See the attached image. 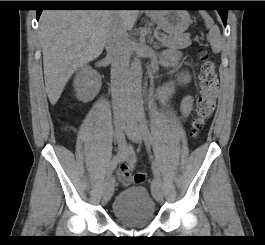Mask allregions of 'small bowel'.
<instances>
[{
    "label": "small bowel",
    "mask_w": 265,
    "mask_h": 245,
    "mask_svg": "<svg viewBox=\"0 0 265 245\" xmlns=\"http://www.w3.org/2000/svg\"><path fill=\"white\" fill-rule=\"evenodd\" d=\"M171 64V66H177L175 57H173ZM176 94V82L174 80H170L165 83L158 91V98L161 105L164 108H170ZM193 103V97L190 95H185L180 99L179 108L183 119L188 118L189 114L192 111ZM118 162V166H115V164L111 169V172L117 176L119 182L122 185L128 186L132 182V171L134 170L136 164V156L133 147L124 146L120 152V158Z\"/></svg>",
    "instance_id": "c3829d8e"
}]
</instances>
